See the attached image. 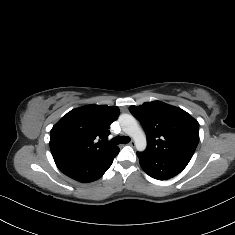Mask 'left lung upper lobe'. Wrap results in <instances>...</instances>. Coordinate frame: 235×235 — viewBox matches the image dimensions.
Returning a JSON list of instances; mask_svg holds the SVG:
<instances>
[{"mask_svg":"<svg viewBox=\"0 0 235 235\" xmlns=\"http://www.w3.org/2000/svg\"><path fill=\"white\" fill-rule=\"evenodd\" d=\"M147 136L145 151L188 163L199 142V123L186 111L161 101L131 106Z\"/></svg>","mask_w":235,"mask_h":235,"instance_id":"5c2ea615","label":"left lung upper lobe"}]
</instances>
